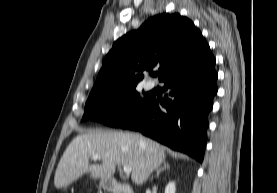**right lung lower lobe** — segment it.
<instances>
[{"label": "right lung lower lobe", "instance_id": "obj_1", "mask_svg": "<svg viewBox=\"0 0 277 193\" xmlns=\"http://www.w3.org/2000/svg\"><path fill=\"white\" fill-rule=\"evenodd\" d=\"M214 66L215 59L208 49L194 61L174 70L162 80L169 95L162 100L151 96L120 128L140 131L202 162L208 113L217 93L218 75Z\"/></svg>", "mask_w": 277, "mask_h": 193}]
</instances>
